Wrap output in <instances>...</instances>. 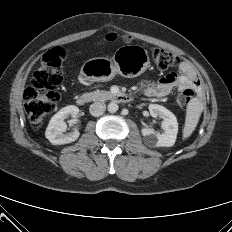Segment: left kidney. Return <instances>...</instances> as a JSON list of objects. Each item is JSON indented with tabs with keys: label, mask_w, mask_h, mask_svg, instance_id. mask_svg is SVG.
<instances>
[{
	"label": "left kidney",
	"mask_w": 232,
	"mask_h": 232,
	"mask_svg": "<svg viewBox=\"0 0 232 232\" xmlns=\"http://www.w3.org/2000/svg\"><path fill=\"white\" fill-rule=\"evenodd\" d=\"M152 117L162 118L163 132H155L152 128H142L141 133L145 137V143L149 147H171L174 145L178 133V122L175 115L158 104L149 105Z\"/></svg>",
	"instance_id": "5707ae66"
}]
</instances>
